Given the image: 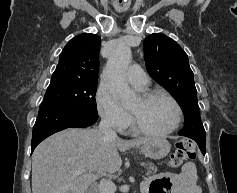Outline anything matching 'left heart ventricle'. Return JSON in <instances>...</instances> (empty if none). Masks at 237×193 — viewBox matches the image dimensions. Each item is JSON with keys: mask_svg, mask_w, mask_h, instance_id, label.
<instances>
[{"mask_svg": "<svg viewBox=\"0 0 237 193\" xmlns=\"http://www.w3.org/2000/svg\"><path fill=\"white\" fill-rule=\"evenodd\" d=\"M128 111L139 126L152 131L166 130L176 119L175 107L163 97H157L146 103L137 99L130 105Z\"/></svg>", "mask_w": 237, "mask_h": 193, "instance_id": "obj_1", "label": "left heart ventricle"}]
</instances>
